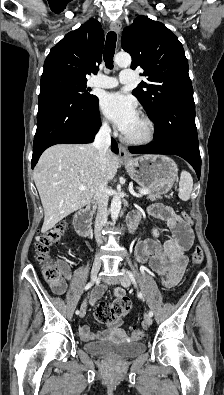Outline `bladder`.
<instances>
[{"label":"bladder","mask_w":224,"mask_h":395,"mask_svg":"<svg viewBox=\"0 0 224 395\" xmlns=\"http://www.w3.org/2000/svg\"><path fill=\"white\" fill-rule=\"evenodd\" d=\"M145 344L142 342H124V341H97L85 345V350L91 354L111 353L119 358H128L136 356L145 351Z\"/></svg>","instance_id":"1"}]
</instances>
